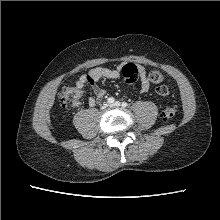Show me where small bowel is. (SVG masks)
I'll use <instances>...</instances> for the list:
<instances>
[{
	"instance_id": "small-bowel-1",
	"label": "small bowel",
	"mask_w": 220,
	"mask_h": 220,
	"mask_svg": "<svg viewBox=\"0 0 220 220\" xmlns=\"http://www.w3.org/2000/svg\"><path fill=\"white\" fill-rule=\"evenodd\" d=\"M120 75V68L110 67H96L90 70L86 75L80 78L77 82V86L83 88L85 85H89L94 95L88 98V105L94 107L105 96V90L98 85L101 79H116ZM150 82L145 76L141 77L140 91L146 93L150 90Z\"/></svg>"
}]
</instances>
